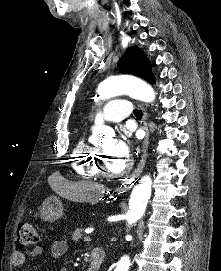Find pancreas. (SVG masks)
<instances>
[{
  "label": "pancreas",
  "mask_w": 221,
  "mask_h": 271,
  "mask_svg": "<svg viewBox=\"0 0 221 271\" xmlns=\"http://www.w3.org/2000/svg\"><path fill=\"white\" fill-rule=\"evenodd\" d=\"M81 235H84L83 229H75V231H73V237H70V242H82Z\"/></svg>",
  "instance_id": "pancreas-1"
}]
</instances>
